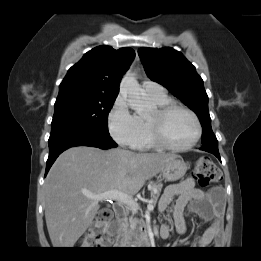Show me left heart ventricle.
<instances>
[{"mask_svg":"<svg viewBox=\"0 0 261 261\" xmlns=\"http://www.w3.org/2000/svg\"><path fill=\"white\" fill-rule=\"evenodd\" d=\"M162 131L169 143L183 146L193 140L196 127L188 113L182 110H173L163 120Z\"/></svg>","mask_w":261,"mask_h":261,"instance_id":"obj_1","label":"left heart ventricle"}]
</instances>
